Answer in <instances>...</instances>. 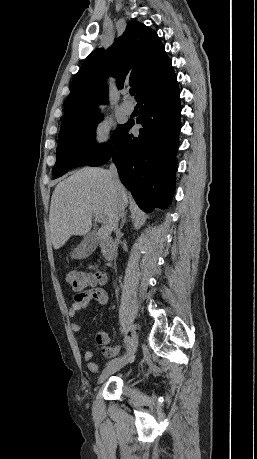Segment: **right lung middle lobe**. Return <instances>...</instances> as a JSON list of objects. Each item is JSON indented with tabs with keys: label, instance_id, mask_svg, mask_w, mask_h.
<instances>
[{
	"label": "right lung middle lobe",
	"instance_id": "obj_1",
	"mask_svg": "<svg viewBox=\"0 0 257 459\" xmlns=\"http://www.w3.org/2000/svg\"><path fill=\"white\" fill-rule=\"evenodd\" d=\"M102 119V114L94 116L59 134L53 179L62 176L71 168L93 163L110 152L112 144L125 125H118L111 140L98 148L95 127Z\"/></svg>",
	"mask_w": 257,
	"mask_h": 459
}]
</instances>
